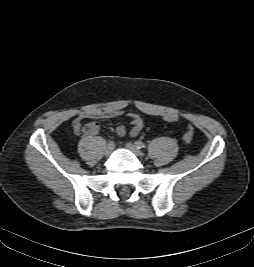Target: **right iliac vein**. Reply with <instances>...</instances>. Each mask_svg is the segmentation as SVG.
<instances>
[{"label":"right iliac vein","mask_w":254,"mask_h":267,"mask_svg":"<svg viewBox=\"0 0 254 267\" xmlns=\"http://www.w3.org/2000/svg\"><path fill=\"white\" fill-rule=\"evenodd\" d=\"M113 149H114V146H110V145H108V146L106 147L105 151H104V154H105V155H110L111 152L113 151Z\"/></svg>","instance_id":"right-iliac-vein-1"}]
</instances>
